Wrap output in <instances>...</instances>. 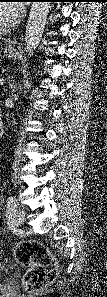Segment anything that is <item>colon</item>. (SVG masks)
Instances as JSON below:
<instances>
[{"instance_id":"obj_1","label":"colon","mask_w":107,"mask_h":297,"mask_svg":"<svg viewBox=\"0 0 107 297\" xmlns=\"http://www.w3.org/2000/svg\"><path fill=\"white\" fill-rule=\"evenodd\" d=\"M16 260L29 267L25 276V287L29 292L41 291L51 283L57 268L49 251L36 242H25L18 244L15 248Z\"/></svg>"}]
</instances>
